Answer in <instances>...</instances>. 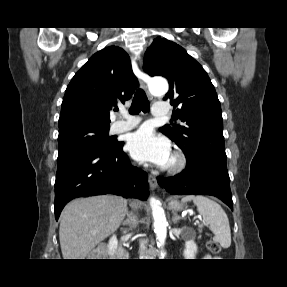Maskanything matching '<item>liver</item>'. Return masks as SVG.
<instances>
[{
  "label": "liver",
  "instance_id": "obj_1",
  "mask_svg": "<svg viewBox=\"0 0 287 287\" xmlns=\"http://www.w3.org/2000/svg\"><path fill=\"white\" fill-rule=\"evenodd\" d=\"M127 213V201L113 195L75 199L61 213L59 240L63 259H85L114 233Z\"/></svg>",
  "mask_w": 287,
  "mask_h": 287
}]
</instances>
